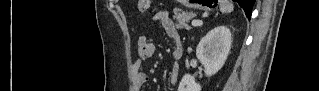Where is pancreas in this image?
<instances>
[{
	"label": "pancreas",
	"mask_w": 319,
	"mask_h": 91,
	"mask_svg": "<svg viewBox=\"0 0 319 91\" xmlns=\"http://www.w3.org/2000/svg\"><path fill=\"white\" fill-rule=\"evenodd\" d=\"M196 16L193 12H184L180 9L174 10V16L173 19L176 22V28L179 30H182L184 28L190 29V26L188 25V21Z\"/></svg>",
	"instance_id": "1"
}]
</instances>
